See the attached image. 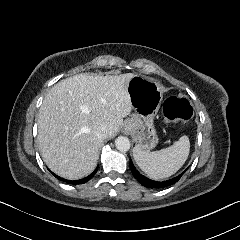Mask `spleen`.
Listing matches in <instances>:
<instances>
[{
    "label": "spleen",
    "mask_w": 240,
    "mask_h": 240,
    "mask_svg": "<svg viewBox=\"0 0 240 240\" xmlns=\"http://www.w3.org/2000/svg\"><path fill=\"white\" fill-rule=\"evenodd\" d=\"M190 152V141L184 135L168 148L159 151H141L133 148V157L139 168L154 180L168 178L175 174L185 163Z\"/></svg>",
    "instance_id": "3e777b00"
}]
</instances>
